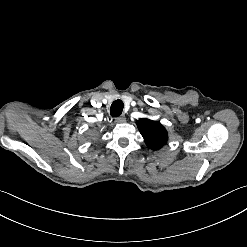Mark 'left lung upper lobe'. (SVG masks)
Segmentation results:
<instances>
[{"label":"left lung upper lobe","instance_id":"obj_1","mask_svg":"<svg viewBox=\"0 0 247 247\" xmlns=\"http://www.w3.org/2000/svg\"><path fill=\"white\" fill-rule=\"evenodd\" d=\"M137 126L149 148L158 150L166 144L168 134L160 122L143 118L137 121Z\"/></svg>","mask_w":247,"mask_h":247}]
</instances>
